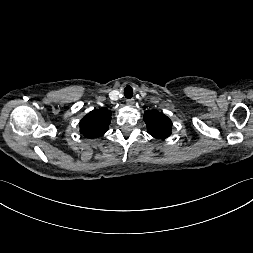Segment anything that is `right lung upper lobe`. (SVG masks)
Returning a JSON list of instances; mask_svg holds the SVG:
<instances>
[{"mask_svg":"<svg viewBox=\"0 0 253 253\" xmlns=\"http://www.w3.org/2000/svg\"><path fill=\"white\" fill-rule=\"evenodd\" d=\"M111 121V111L100 108L93 110L80 121V132L85 137L93 139L108 131Z\"/></svg>","mask_w":253,"mask_h":253,"instance_id":"cb5924a9","label":"right lung upper lobe"}]
</instances>
